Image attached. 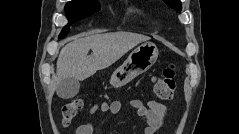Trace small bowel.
<instances>
[{"label": "small bowel", "mask_w": 239, "mask_h": 134, "mask_svg": "<svg viewBox=\"0 0 239 134\" xmlns=\"http://www.w3.org/2000/svg\"><path fill=\"white\" fill-rule=\"evenodd\" d=\"M130 106L136 115L146 124L144 134H156L163 126L164 119L167 115L168 106L156 100H148L145 103L139 99H132ZM122 109L120 101L100 102L94 104L89 113L91 116L98 112L118 114ZM75 134H94V123L88 121L76 127Z\"/></svg>", "instance_id": "obj_1"}]
</instances>
